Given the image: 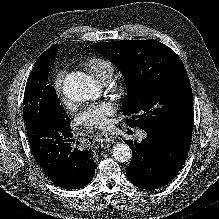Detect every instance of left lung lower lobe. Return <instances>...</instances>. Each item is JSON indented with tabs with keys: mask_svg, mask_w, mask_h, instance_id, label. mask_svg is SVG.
<instances>
[{
	"mask_svg": "<svg viewBox=\"0 0 219 219\" xmlns=\"http://www.w3.org/2000/svg\"><path fill=\"white\" fill-rule=\"evenodd\" d=\"M147 132L141 143L131 144L133 157L127 177L135 186L154 190L171 182L181 170L188 154L192 129L161 134Z\"/></svg>",
	"mask_w": 219,
	"mask_h": 219,
	"instance_id": "obj_1",
	"label": "left lung lower lobe"
}]
</instances>
